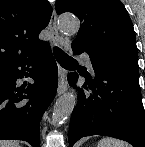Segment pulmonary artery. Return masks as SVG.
Masks as SVG:
<instances>
[{
    "mask_svg": "<svg viewBox=\"0 0 145 147\" xmlns=\"http://www.w3.org/2000/svg\"><path fill=\"white\" fill-rule=\"evenodd\" d=\"M81 59L83 60V62L87 66V68L89 70L93 71V66H92V62H91L89 55L88 54H82Z\"/></svg>",
    "mask_w": 145,
    "mask_h": 147,
    "instance_id": "obj_1",
    "label": "pulmonary artery"
}]
</instances>
